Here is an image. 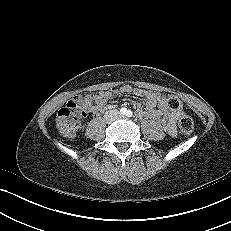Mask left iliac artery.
<instances>
[{"instance_id":"1","label":"left iliac artery","mask_w":231,"mask_h":231,"mask_svg":"<svg viewBox=\"0 0 231 231\" xmlns=\"http://www.w3.org/2000/svg\"><path fill=\"white\" fill-rule=\"evenodd\" d=\"M132 115H133V113H132L131 110H128V111L126 112V116H127V117H131Z\"/></svg>"}]
</instances>
